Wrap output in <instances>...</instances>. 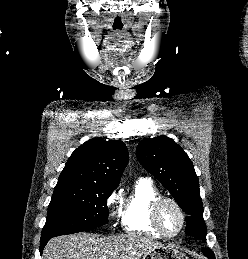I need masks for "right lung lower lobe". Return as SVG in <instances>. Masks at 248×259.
Wrapping results in <instances>:
<instances>
[{
  "instance_id": "right-lung-lower-lobe-1",
  "label": "right lung lower lobe",
  "mask_w": 248,
  "mask_h": 259,
  "mask_svg": "<svg viewBox=\"0 0 248 259\" xmlns=\"http://www.w3.org/2000/svg\"><path fill=\"white\" fill-rule=\"evenodd\" d=\"M51 238L50 237H47V238H41V241H40V253H42L45 245L47 244V242L50 240Z\"/></svg>"
}]
</instances>
